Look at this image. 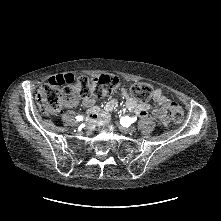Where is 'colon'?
Wrapping results in <instances>:
<instances>
[{
  "mask_svg": "<svg viewBox=\"0 0 221 221\" xmlns=\"http://www.w3.org/2000/svg\"><path fill=\"white\" fill-rule=\"evenodd\" d=\"M119 80L112 75H104L95 79L78 78L69 85L44 84L38 91L36 100L39 108L46 114L57 113L70 99L90 96L103 97L111 94L118 86ZM130 92L132 96L142 102L153 98V90L149 84L134 83ZM169 112L175 124H181L184 118L181 107L173 100L169 102Z\"/></svg>",
  "mask_w": 221,
  "mask_h": 221,
  "instance_id": "colon-1",
  "label": "colon"
}]
</instances>
